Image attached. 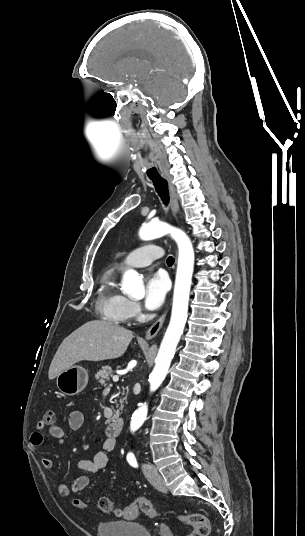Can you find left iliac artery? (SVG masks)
I'll list each match as a JSON object with an SVG mask.
<instances>
[{"label":"left iliac artery","instance_id":"obj_1","mask_svg":"<svg viewBox=\"0 0 305 536\" xmlns=\"http://www.w3.org/2000/svg\"><path fill=\"white\" fill-rule=\"evenodd\" d=\"M129 464L133 467H138L136 458L134 456L127 457Z\"/></svg>","mask_w":305,"mask_h":536}]
</instances>
